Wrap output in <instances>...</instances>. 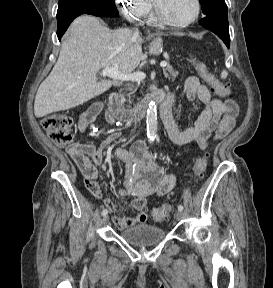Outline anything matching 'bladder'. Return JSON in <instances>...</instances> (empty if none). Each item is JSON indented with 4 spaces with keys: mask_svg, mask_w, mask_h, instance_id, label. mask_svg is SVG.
<instances>
[{
    "mask_svg": "<svg viewBox=\"0 0 273 288\" xmlns=\"http://www.w3.org/2000/svg\"><path fill=\"white\" fill-rule=\"evenodd\" d=\"M120 238L134 246H149L154 245L162 241L166 233L164 229L148 225L140 224L132 227H128L119 234Z\"/></svg>",
    "mask_w": 273,
    "mask_h": 288,
    "instance_id": "1",
    "label": "bladder"
}]
</instances>
